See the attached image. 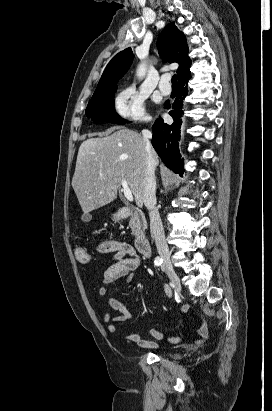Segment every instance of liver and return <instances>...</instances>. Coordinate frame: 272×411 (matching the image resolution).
Masks as SVG:
<instances>
[{"label":"liver","instance_id":"obj_1","mask_svg":"<svg viewBox=\"0 0 272 411\" xmlns=\"http://www.w3.org/2000/svg\"><path fill=\"white\" fill-rule=\"evenodd\" d=\"M155 166L159 164L154 149ZM146 142L141 134L124 128L102 138H89L79 147L72 187L84 212L117 198L126 180L138 206L143 205Z\"/></svg>","mask_w":272,"mask_h":411}]
</instances>
